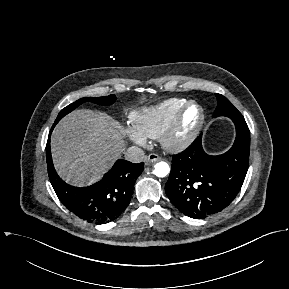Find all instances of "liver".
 Segmentation results:
<instances>
[{"label":"liver","mask_w":289,"mask_h":289,"mask_svg":"<svg viewBox=\"0 0 289 289\" xmlns=\"http://www.w3.org/2000/svg\"><path fill=\"white\" fill-rule=\"evenodd\" d=\"M125 151L124 134L109 115L75 110L51 135V153L58 174L74 186L100 180Z\"/></svg>","instance_id":"1"}]
</instances>
